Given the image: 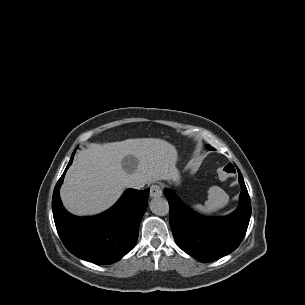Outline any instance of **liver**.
I'll return each mask as SVG.
<instances>
[{
    "label": "liver",
    "instance_id": "1",
    "mask_svg": "<svg viewBox=\"0 0 305 305\" xmlns=\"http://www.w3.org/2000/svg\"><path fill=\"white\" fill-rule=\"evenodd\" d=\"M176 148L157 138L90 143L79 151L60 189L65 208L74 215L107 210L133 182L143 185L171 178Z\"/></svg>",
    "mask_w": 305,
    "mask_h": 305
}]
</instances>
